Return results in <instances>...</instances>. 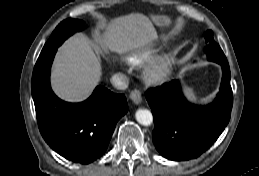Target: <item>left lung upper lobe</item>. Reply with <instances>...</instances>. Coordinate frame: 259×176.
Listing matches in <instances>:
<instances>
[{
	"instance_id": "5c2ea615",
	"label": "left lung upper lobe",
	"mask_w": 259,
	"mask_h": 176,
	"mask_svg": "<svg viewBox=\"0 0 259 176\" xmlns=\"http://www.w3.org/2000/svg\"><path fill=\"white\" fill-rule=\"evenodd\" d=\"M205 39L208 43V46L205 50L208 56V60L215 61L219 64L228 63L220 46L214 41L212 31L206 32Z\"/></svg>"
}]
</instances>
